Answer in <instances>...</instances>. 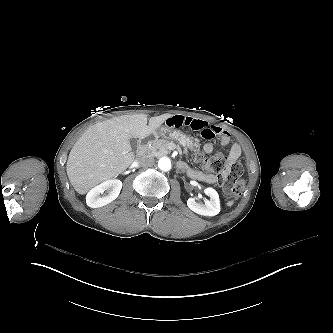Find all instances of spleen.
I'll list each match as a JSON object with an SVG mask.
<instances>
[{
  "instance_id": "spleen-1",
  "label": "spleen",
  "mask_w": 333,
  "mask_h": 333,
  "mask_svg": "<svg viewBox=\"0 0 333 333\" xmlns=\"http://www.w3.org/2000/svg\"><path fill=\"white\" fill-rule=\"evenodd\" d=\"M233 204H234L233 200L227 202V206H229V207H231Z\"/></svg>"
}]
</instances>
